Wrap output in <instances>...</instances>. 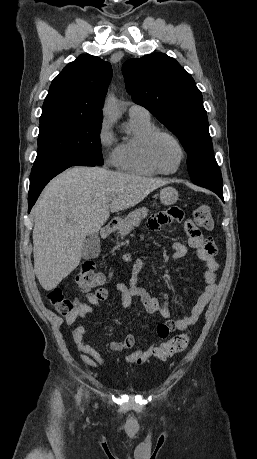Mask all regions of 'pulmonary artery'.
<instances>
[{
	"label": "pulmonary artery",
	"mask_w": 257,
	"mask_h": 459,
	"mask_svg": "<svg viewBox=\"0 0 257 459\" xmlns=\"http://www.w3.org/2000/svg\"><path fill=\"white\" fill-rule=\"evenodd\" d=\"M129 115L150 116L147 109L137 104H133L130 106Z\"/></svg>",
	"instance_id": "pulmonary-artery-1"
}]
</instances>
